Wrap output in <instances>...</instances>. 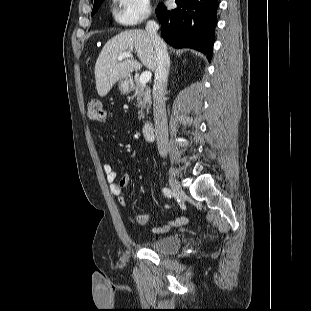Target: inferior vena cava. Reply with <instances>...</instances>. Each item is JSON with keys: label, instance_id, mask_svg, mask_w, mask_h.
Listing matches in <instances>:
<instances>
[{"label": "inferior vena cava", "instance_id": "inferior-vena-cava-1", "mask_svg": "<svg viewBox=\"0 0 311 311\" xmlns=\"http://www.w3.org/2000/svg\"><path fill=\"white\" fill-rule=\"evenodd\" d=\"M159 25L155 21H148L146 31L153 41L156 52V69L153 86V113L155 121L156 143L160 156L166 157L168 152V126L165 108L170 58L165 42L157 31Z\"/></svg>", "mask_w": 311, "mask_h": 311}]
</instances>
